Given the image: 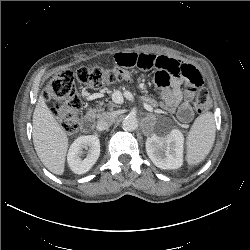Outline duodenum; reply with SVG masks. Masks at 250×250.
Segmentation results:
<instances>
[{
	"label": "duodenum",
	"instance_id": "410a0bca",
	"mask_svg": "<svg viewBox=\"0 0 250 250\" xmlns=\"http://www.w3.org/2000/svg\"><path fill=\"white\" fill-rule=\"evenodd\" d=\"M93 122H94V114L93 112H88L82 118V129L85 132L91 131L93 127Z\"/></svg>",
	"mask_w": 250,
	"mask_h": 250
}]
</instances>
